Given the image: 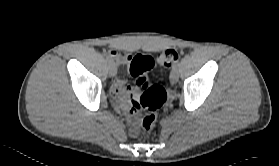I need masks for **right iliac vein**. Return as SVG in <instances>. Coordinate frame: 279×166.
Returning a JSON list of instances; mask_svg holds the SVG:
<instances>
[{"mask_svg":"<svg viewBox=\"0 0 279 166\" xmlns=\"http://www.w3.org/2000/svg\"><path fill=\"white\" fill-rule=\"evenodd\" d=\"M109 74L114 77L117 74V67L114 63H110L109 65Z\"/></svg>","mask_w":279,"mask_h":166,"instance_id":"63e3f726","label":"right iliac vein"}]
</instances>
